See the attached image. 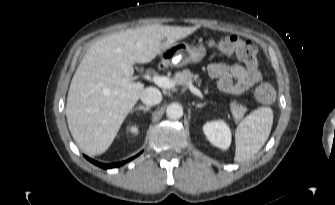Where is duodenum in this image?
I'll return each instance as SVG.
<instances>
[{"label":"duodenum","mask_w":335,"mask_h":205,"mask_svg":"<svg viewBox=\"0 0 335 205\" xmlns=\"http://www.w3.org/2000/svg\"><path fill=\"white\" fill-rule=\"evenodd\" d=\"M164 67V64L160 63L159 68L162 69Z\"/></svg>","instance_id":"obj_1"}]
</instances>
